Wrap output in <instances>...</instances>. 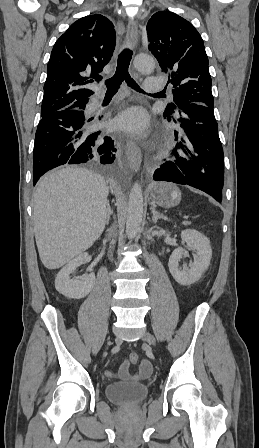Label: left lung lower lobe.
I'll list each match as a JSON object with an SVG mask.
<instances>
[{
  "instance_id": "left-lung-lower-lobe-1",
  "label": "left lung lower lobe",
  "mask_w": 259,
  "mask_h": 448,
  "mask_svg": "<svg viewBox=\"0 0 259 448\" xmlns=\"http://www.w3.org/2000/svg\"><path fill=\"white\" fill-rule=\"evenodd\" d=\"M179 123L183 135L175 131L172 161H166L154 172V180L190 185L217 201L222 200L224 183V154L218 135L213 107L192 103L176 115L167 116Z\"/></svg>"
}]
</instances>
